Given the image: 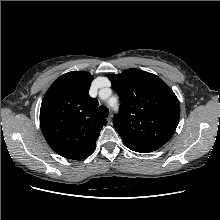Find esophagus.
I'll return each instance as SVG.
<instances>
[{
  "mask_svg": "<svg viewBox=\"0 0 220 220\" xmlns=\"http://www.w3.org/2000/svg\"><path fill=\"white\" fill-rule=\"evenodd\" d=\"M112 117H113V115H112V114H110V115L107 117V122H108V124H110V123H111Z\"/></svg>",
  "mask_w": 220,
  "mask_h": 220,
  "instance_id": "esophagus-1",
  "label": "esophagus"
}]
</instances>
